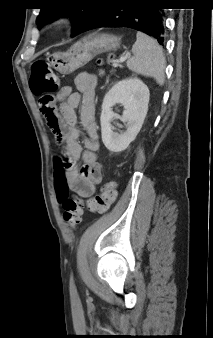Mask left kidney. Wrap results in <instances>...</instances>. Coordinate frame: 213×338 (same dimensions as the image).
<instances>
[{"label":"left kidney","mask_w":213,"mask_h":338,"mask_svg":"<svg viewBox=\"0 0 213 338\" xmlns=\"http://www.w3.org/2000/svg\"><path fill=\"white\" fill-rule=\"evenodd\" d=\"M149 89L138 78L123 79L107 92L102 103L100 117L102 141L114 153L124 151L139 133L148 111ZM122 104L124 111L120 119L126 123L122 133L113 131L111 122L115 118L112 107Z\"/></svg>","instance_id":"left-kidney-1"}]
</instances>
